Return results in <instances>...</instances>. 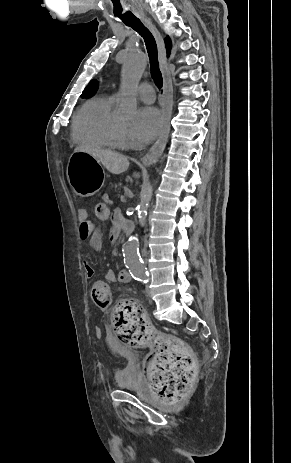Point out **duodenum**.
<instances>
[{"label":"duodenum","instance_id":"duodenum-1","mask_svg":"<svg viewBox=\"0 0 291 463\" xmlns=\"http://www.w3.org/2000/svg\"><path fill=\"white\" fill-rule=\"evenodd\" d=\"M116 226L121 229V232L123 231V232H126V233H131L134 230L133 221L129 220V219L121 218V217L118 220ZM110 239H112V238L110 237ZM125 271L129 274V272L127 270H125Z\"/></svg>","mask_w":291,"mask_h":463}]
</instances>
